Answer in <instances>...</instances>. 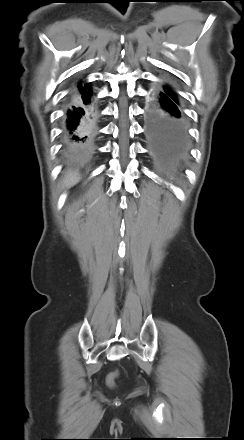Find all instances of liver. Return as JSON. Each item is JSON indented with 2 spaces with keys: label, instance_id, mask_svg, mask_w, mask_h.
<instances>
[{
  "label": "liver",
  "instance_id": "1",
  "mask_svg": "<svg viewBox=\"0 0 244 440\" xmlns=\"http://www.w3.org/2000/svg\"><path fill=\"white\" fill-rule=\"evenodd\" d=\"M79 180L80 176L78 175V173L69 170L63 180V186L65 188L71 187L75 185Z\"/></svg>",
  "mask_w": 244,
  "mask_h": 440
}]
</instances>
